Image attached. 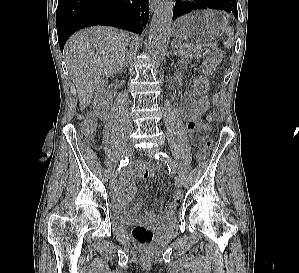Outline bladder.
<instances>
[{
	"label": "bladder",
	"instance_id": "31cf9c89",
	"mask_svg": "<svg viewBox=\"0 0 299 273\" xmlns=\"http://www.w3.org/2000/svg\"><path fill=\"white\" fill-rule=\"evenodd\" d=\"M134 219V216L129 214H123L117 210L113 213V221L118 226H125L128 223H130ZM166 222L168 224H174L175 223V217H170L166 219Z\"/></svg>",
	"mask_w": 299,
	"mask_h": 273
}]
</instances>
